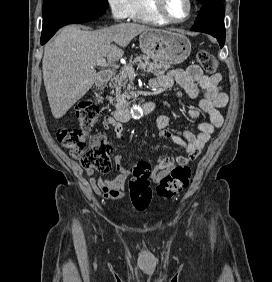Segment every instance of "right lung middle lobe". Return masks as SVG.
<instances>
[{
  "label": "right lung middle lobe",
  "mask_w": 272,
  "mask_h": 282,
  "mask_svg": "<svg viewBox=\"0 0 272 282\" xmlns=\"http://www.w3.org/2000/svg\"><path fill=\"white\" fill-rule=\"evenodd\" d=\"M76 8H108V0H44L43 17L47 15Z\"/></svg>",
  "instance_id": "obj_1"
}]
</instances>
